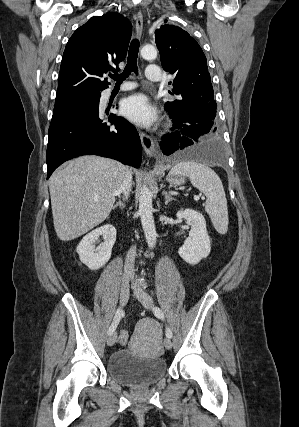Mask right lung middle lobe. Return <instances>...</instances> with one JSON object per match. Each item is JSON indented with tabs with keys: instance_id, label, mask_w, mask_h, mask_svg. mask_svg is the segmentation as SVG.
<instances>
[{
	"instance_id": "1",
	"label": "right lung middle lobe",
	"mask_w": 299,
	"mask_h": 427,
	"mask_svg": "<svg viewBox=\"0 0 299 427\" xmlns=\"http://www.w3.org/2000/svg\"><path fill=\"white\" fill-rule=\"evenodd\" d=\"M98 94H100V93H98ZM93 95H96V94H93ZM90 96H92V95H90ZM86 97H88V96H86ZM86 97L78 98V99L71 100V101H67V102L56 103V104H55V107H56V106H60V105H64V104H68V103H71V102H74V101H77V100H80V99H84V98H86Z\"/></svg>"
}]
</instances>
